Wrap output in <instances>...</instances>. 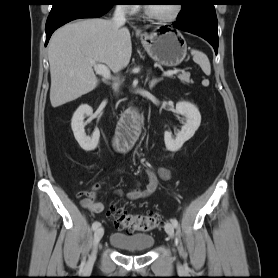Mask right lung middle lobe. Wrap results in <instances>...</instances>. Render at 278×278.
<instances>
[{
  "mask_svg": "<svg viewBox=\"0 0 278 278\" xmlns=\"http://www.w3.org/2000/svg\"><path fill=\"white\" fill-rule=\"evenodd\" d=\"M63 1L64 0H53V6H56ZM78 1L98 3V4H114L116 2V0H78Z\"/></svg>",
  "mask_w": 278,
  "mask_h": 278,
  "instance_id": "obj_1",
  "label": "right lung middle lobe"
}]
</instances>
